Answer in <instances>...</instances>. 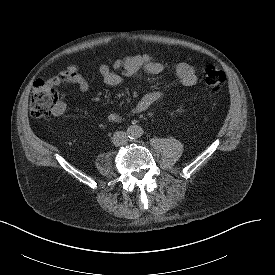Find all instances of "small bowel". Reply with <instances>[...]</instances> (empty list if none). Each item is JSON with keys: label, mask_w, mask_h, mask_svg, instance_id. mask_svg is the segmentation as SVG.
Returning a JSON list of instances; mask_svg holds the SVG:
<instances>
[{"label": "small bowel", "mask_w": 275, "mask_h": 275, "mask_svg": "<svg viewBox=\"0 0 275 275\" xmlns=\"http://www.w3.org/2000/svg\"><path fill=\"white\" fill-rule=\"evenodd\" d=\"M144 71L150 75H159L163 73L164 66L156 61L150 54L133 55L122 59H117L112 66L102 64L99 68V74L108 86L114 87L119 85L124 77L136 75ZM174 74L180 80L183 86L192 87L197 83V74L193 66L187 63H180L175 66ZM51 85L61 86L64 84H74L81 93L89 91L88 81L79 73L75 65H70L63 71L59 72L49 80ZM162 93L158 90L150 91L144 94L133 107L131 114H140L147 111L150 107L160 101ZM64 112L62 103L53 111L54 115H61ZM123 119L120 114L111 113L108 120L112 123L119 122Z\"/></svg>", "instance_id": "c3829d8e"}]
</instances>
